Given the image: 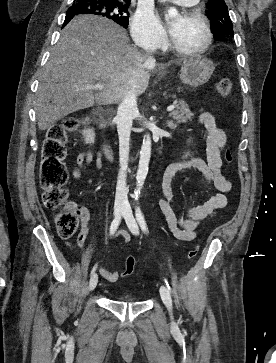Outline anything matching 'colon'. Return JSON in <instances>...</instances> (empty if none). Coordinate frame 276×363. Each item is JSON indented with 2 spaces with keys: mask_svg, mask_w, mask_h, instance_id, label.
I'll return each instance as SVG.
<instances>
[{
  "mask_svg": "<svg viewBox=\"0 0 276 363\" xmlns=\"http://www.w3.org/2000/svg\"><path fill=\"white\" fill-rule=\"evenodd\" d=\"M218 94L222 97H228L232 92V83L229 79H222L216 85ZM78 119L74 117L67 118L60 124L53 125L47 132L46 138L42 145V161L39 171V181L43 190L44 205L54 211H59L56 220V230L60 237H72L79 225L78 213L72 207H64L68 191L65 184L68 180V171L64 163L66 157V143L68 134L77 129ZM227 161H231V153L226 154ZM64 207V208H63ZM197 249H191L187 257L194 258ZM135 259L132 256L126 259V271L124 274H130L133 271Z\"/></svg>",
  "mask_w": 276,
  "mask_h": 363,
  "instance_id": "5ec220e1",
  "label": "colon"
}]
</instances>
